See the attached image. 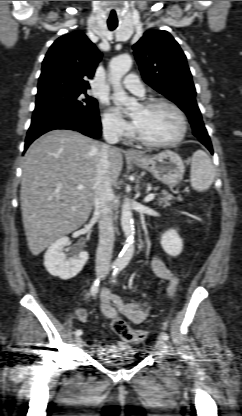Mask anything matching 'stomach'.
<instances>
[{
  "label": "stomach",
  "mask_w": 242,
  "mask_h": 416,
  "mask_svg": "<svg viewBox=\"0 0 242 416\" xmlns=\"http://www.w3.org/2000/svg\"><path fill=\"white\" fill-rule=\"evenodd\" d=\"M131 162L150 172L166 185L179 183L184 175V163L181 157L170 150L162 151L154 156H143L141 160L132 159Z\"/></svg>",
  "instance_id": "stomach-1"
}]
</instances>
